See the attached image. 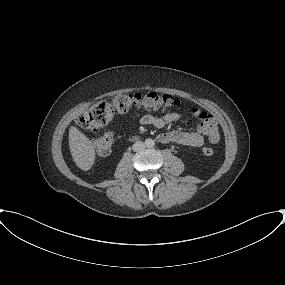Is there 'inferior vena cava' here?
<instances>
[{"label": "inferior vena cava", "mask_w": 285, "mask_h": 285, "mask_svg": "<svg viewBox=\"0 0 285 285\" xmlns=\"http://www.w3.org/2000/svg\"><path fill=\"white\" fill-rule=\"evenodd\" d=\"M145 143L144 142H142V141H137V142H135L134 144H133V146H132V148H133V151H135V152H140V151H142V150H144L145 149Z\"/></svg>", "instance_id": "1"}]
</instances>
